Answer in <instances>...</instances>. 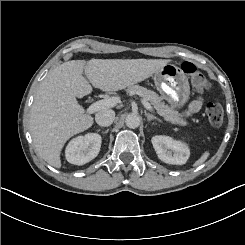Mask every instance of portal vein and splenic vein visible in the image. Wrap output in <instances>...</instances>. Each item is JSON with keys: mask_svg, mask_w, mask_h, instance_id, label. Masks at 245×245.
Masks as SVG:
<instances>
[{"mask_svg": "<svg viewBox=\"0 0 245 245\" xmlns=\"http://www.w3.org/2000/svg\"><path fill=\"white\" fill-rule=\"evenodd\" d=\"M119 102H120V98H118V97H111L108 99H102V100H99V101L93 103L92 105H90L89 108L87 109V112L89 114H92V113L100 111L102 109L114 107ZM142 104L144 105V107L147 110L152 111V106L149 102H147L146 100H142Z\"/></svg>", "mask_w": 245, "mask_h": 245, "instance_id": "1", "label": "portal vein and splenic vein"}]
</instances>
